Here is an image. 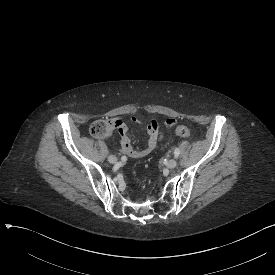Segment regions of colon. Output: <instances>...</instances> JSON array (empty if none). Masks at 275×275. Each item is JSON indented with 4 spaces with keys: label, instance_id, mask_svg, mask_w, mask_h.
Instances as JSON below:
<instances>
[{
    "label": "colon",
    "instance_id": "colon-1",
    "mask_svg": "<svg viewBox=\"0 0 275 275\" xmlns=\"http://www.w3.org/2000/svg\"><path fill=\"white\" fill-rule=\"evenodd\" d=\"M112 121L113 118L105 117L95 120L90 126V134L98 139L107 137L114 130ZM174 131L176 135L184 138H188L191 135V131L183 125L175 126Z\"/></svg>",
    "mask_w": 275,
    "mask_h": 275
}]
</instances>
